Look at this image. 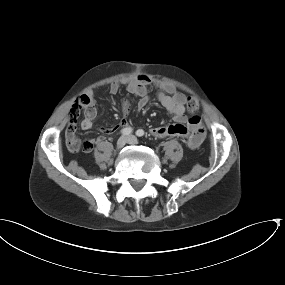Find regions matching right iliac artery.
<instances>
[{"mask_svg":"<svg viewBox=\"0 0 285 285\" xmlns=\"http://www.w3.org/2000/svg\"><path fill=\"white\" fill-rule=\"evenodd\" d=\"M132 133V128L131 127H127L121 130V134L122 135H129Z\"/></svg>","mask_w":285,"mask_h":285,"instance_id":"82829eb1","label":"right iliac artery"}]
</instances>
